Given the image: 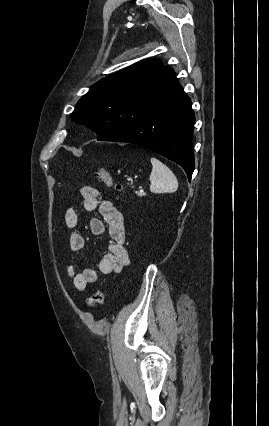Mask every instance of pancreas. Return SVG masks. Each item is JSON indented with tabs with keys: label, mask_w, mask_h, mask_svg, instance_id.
I'll return each mask as SVG.
<instances>
[{
	"label": "pancreas",
	"mask_w": 269,
	"mask_h": 426,
	"mask_svg": "<svg viewBox=\"0 0 269 426\" xmlns=\"http://www.w3.org/2000/svg\"><path fill=\"white\" fill-rule=\"evenodd\" d=\"M135 194H137L138 196H143V195H145L144 193H140V192H138V191H135Z\"/></svg>",
	"instance_id": "1"
}]
</instances>
